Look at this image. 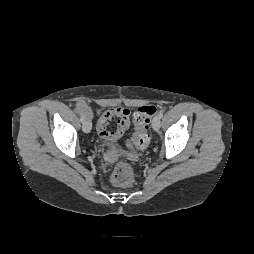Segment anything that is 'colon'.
Here are the masks:
<instances>
[{"label":"colon","mask_w":254,"mask_h":254,"mask_svg":"<svg viewBox=\"0 0 254 254\" xmlns=\"http://www.w3.org/2000/svg\"><path fill=\"white\" fill-rule=\"evenodd\" d=\"M156 107L153 105L142 106L136 109L133 115L135 132L129 145L137 149L144 148L150 140L149 128L152 117L156 113ZM133 170L127 166L117 167L111 176L114 184L118 186H128L133 182Z\"/></svg>","instance_id":"1"}]
</instances>
